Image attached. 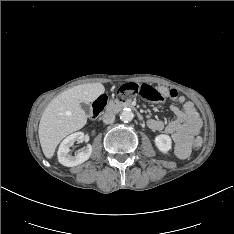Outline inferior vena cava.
Segmentation results:
<instances>
[{
	"label": "inferior vena cava",
	"mask_w": 234,
	"mask_h": 234,
	"mask_svg": "<svg viewBox=\"0 0 234 234\" xmlns=\"http://www.w3.org/2000/svg\"><path fill=\"white\" fill-rule=\"evenodd\" d=\"M102 119L105 124H111L115 120V115L113 113L108 112L103 115Z\"/></svg>",
	"instance_id": "obj_1"
}]
</instances>
